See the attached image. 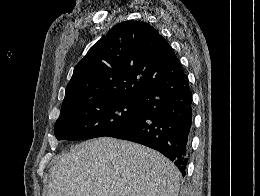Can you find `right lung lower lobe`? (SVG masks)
Instances as JSON below:
<instances>
[{"instance_id":"98d812e1","label":"right lung lower lobe","mask_w":260,"mask_h":196,"mask_svg":"<svg viewBox=\"0 0 260 196\" xmlns=\"http://www.w3.org/2000/svg\"><path fill=\"white\" fill-rule=\"evenodd\" d=\"M143 119L109 135L153 148L186 175L192 128V92L185 73L138 98Z\"/></svg>"}]
</instances>
